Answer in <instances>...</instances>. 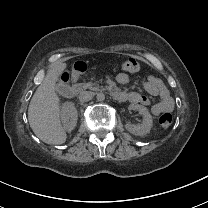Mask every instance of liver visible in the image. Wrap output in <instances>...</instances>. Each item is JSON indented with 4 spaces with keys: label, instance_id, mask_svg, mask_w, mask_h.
I'll list each match as a JSON object with an SVG mask.
<instances>
[{
    "label": "liver",
    "instance_id": "1",
    "mask_svg": "<svg viewBox=\"0 0 208 208\" xmlns=\"http://www.w3.org/2000/svg\"><path fill=\"white\" fill-rule=\"evenodd\" d=\"M67 63L56 64L48 70L36 89L28 108V121L34 134L48 145L64 144L67 134L60 120L61 102L56 84Z\"/></svg>",
    "mask_w": 208,
    "mask_h": 208
}]
</instances>
